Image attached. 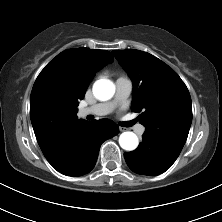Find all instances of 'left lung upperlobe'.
Instances as JSON below:
<instances>
[{"label": "left lung upper lobe", "instance_id": "obj_1", "mask_svg": "<svg viewBox=\"0 0 222 222\" xmlns=\"http://www.w3.org/2000/svg\"><path fill=\"white\" fill-rule=\"evenodd\" d=\"M112 53L133 81L131 110L142 112L139 119L146 127L145 132L166 137L181 151L192 122L191 97L184 82L167 64L149 53L134 49ZM175 127L182 134L175 133Z\"/></svg>", "mask_w": 222, "mask_h": 222}]
</instances>
